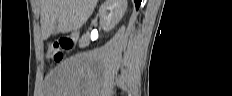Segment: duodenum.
I'll return each instance as SVG.
<instances>
[{
	"label": "duodenum",
	"instance_id": "410a0bca",
	"mask_svg": "<svg viewBox=\"0 0 232 96\" xmlns=\"http://www.w3.org/2000/svg\"><path fill=\"white\" fill-rule=\"evenodd\" d=\"M70 36H71V39H72V40H74V41H76V40H77V38H78V34H77V33H75V32H74V33H71V35H70Z\"/></svg>",
	"mask_w": 232,
	"mask_h": 96
}]
</instances>
